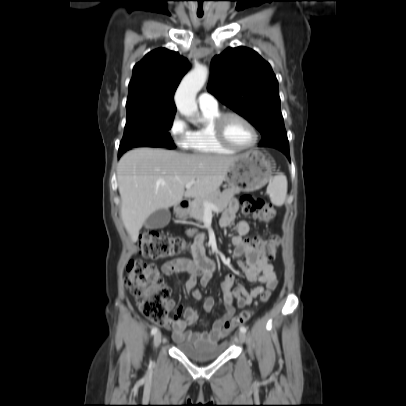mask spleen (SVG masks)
Instances as JSON below:
<instances>
[{
	"label": "spleen",
	"instance_id": "1",
	"mask_svg": "<svg viewBox=\"0 0 406 406\" xmlns=\"http://www.w3.org/2000/svg\"><path fill=\"white\" fill-rule=\"evenodd\" d=\"M267 193L273 204L283 205L287 195V178L283 173H279L272 179L267 187Z\"/></svg>",
	"mask_w": 406,
	"mask_h": 406
}]
</instances>
